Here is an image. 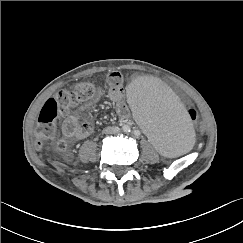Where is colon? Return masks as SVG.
Wrapping results in <instances>:
<instances>
[{"label":"colon","instance_id":"1","mask_svg":"<svg viewBox=\"0 0 243 243\" xmlns=\"http://www.w3.org/2000/svg\"><path fill=\"white\" fill-rule=\"evenodd\" d=\"M98 88L88 81H83L71 88H65L56 93L53 98L48 99L42 106L38 124L35 132V143L38 148L42 147L47 141L52 140L56 133L55 121L59 114L66 113L77 104L90 101L98 97ZM189 116L194 122L195 131L201 132L202 125L198 111L193 104L187 105ZM60 150H65L67 144L59 141L57 144Z\"/></svg>","mask_w":243,"mask_h":243}]
</instances>
